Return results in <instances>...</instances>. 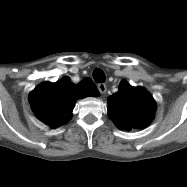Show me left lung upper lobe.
<instances>
[{
	"instance_id": "1",
	"label": "left lung upper lobe",
	"mask_w": 187,
	"mask_h": 187,
	"mask_svg": "<svg viewBox=\"0 0 187 187\" xmlns=\"http://www.w3.org/2000/svg\"><path fill=\"white\" fill-rule=\"evenodd\" d=\"M156 104L142 87H132L122 81L118 92L108 98V116L121 130L142 128L154 118Z\"/></svg>"
}]
</instances>
